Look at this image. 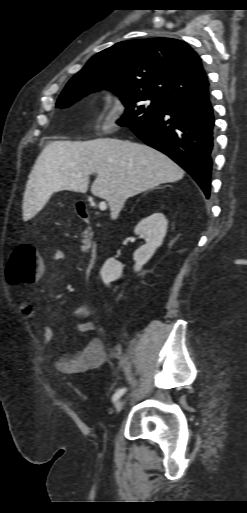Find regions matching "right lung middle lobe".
Returning a JSON list of instances; mask_svg holds the SVG:
<instances>
[{"label": "right lung middle lobe", "instance_id": "1", "mask_svg": "<svg viewBox=\"0 0 247 513\" xmlns=\"http://www.w3.org/2000/svg\"><path fill=\"white\" fill-rule=\"evenodd\" d=\"M101 85H105L107 89H110L120 95L121 100L126 107L125 114L117 122L120 126L131 127L145 122L157 114L166 104V102L161 99L141 95L124 86L109 87L107 84L102 82H80L77 80H70L60 94L56 106L60 108L68 107L82 96L101 89ZM148 100L151 102L146 103Z\"/></svg>", "mask_w": 247, "mask_h": 513}]
</instances>
